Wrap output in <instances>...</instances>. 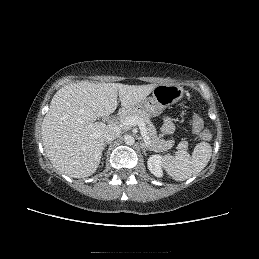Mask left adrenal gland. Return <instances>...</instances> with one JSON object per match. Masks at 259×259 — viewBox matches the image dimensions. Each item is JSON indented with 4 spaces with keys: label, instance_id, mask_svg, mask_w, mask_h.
<instances>
[{
    "label": "left adrenal gland",
    "instance_id": "a2214340",
    "mask_svg": "<svg viewBox=\"0 0 259 259\" xmlns=\"http://www.w3.org/2000/svg\"><path fill=\"white\" fill-rule=\"evenodd\" d=\"M141 148H142V150L145 152V150H149V151H151L152 149L148 146V145H146L143 141H142V143H141Z\"/></svg>",
    "mask_w": 259,
    "mask_h": 259
}]
</instances>
